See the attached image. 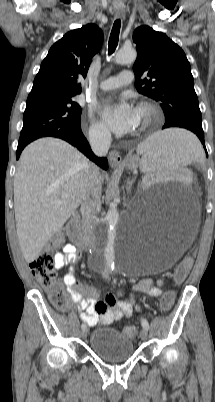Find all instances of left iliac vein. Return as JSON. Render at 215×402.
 Segmentation results:
<instances>
[{"label":"left iliac vein","instance_id":"left-iliac-vein-1","mask_svg":"<svg viewBox=\"0 0 215 402\" xmlns=\"http://www.w3.org/2000/svg\"><path fill=\"white\" fill-rule=\"evenodd\" d=\"M140 338L145 341L148 339V331L146 329H142L140 332Z\"/></svg>","mask_w":215,"mask_h":402}]
</instances>
